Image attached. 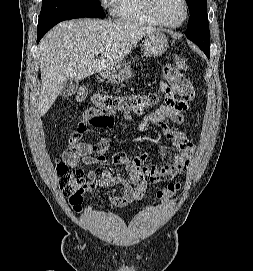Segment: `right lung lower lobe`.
<instances>
[{
  "label": "right lung lower lobe",
  "instance_id": "1",
  "mask_svg": "<svg viewBox=\"0 0 253 271\" xmlns=\"http://www.w3.org/2000/svg\"><path fill=\"white\" fill-rule=\"evenodd\" d=\"M46 32H38V35H37V43L40 41V39L44 36Z\"/></svg>",
  "mask_w": 253,
  "mask_h": 271
}]
</instances>
